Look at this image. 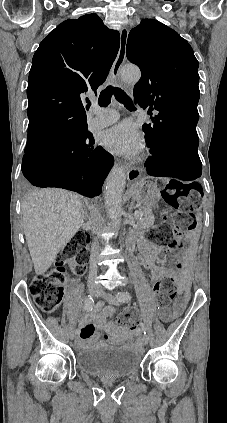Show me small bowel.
Instances as JSON below:
<instances>
[{"label":"small bowel","mask_w":227,"mask_h":423,"mask_svg":"<svg viewBox=\"0 0 227 423\" xmlns=\"http://www.w3.org/2000/svg\"><path fill=\"white\" fill-rule=\"evenodd\" d=\"M161 248L155 244H148L147 252L142 255V260L147 269L150 270L152 281L156 282L169 274L168 270L162 266L155 265V260ZM177 269L181 272L179 278L180 290L184 293V298L177 300L173 308H159V316L165 322H171L176 319L183 311L188 300L187 284L188 276L182 263L177 264ZM115 312L114 307L104 306L99 303L90 310V312L80 322V333L76 341L78 347L83 348L96 341L98 335L97 329H104L106 334L103 337L105 343L111 341L132 340L140 335V330L123 331L118 329L113 323L108 322V318Z\"/></svg>","instance_id":"obj_1"}]
</instances>
